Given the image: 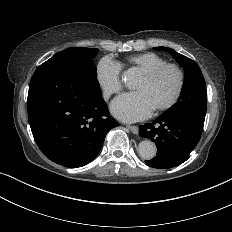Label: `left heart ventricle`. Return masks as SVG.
Returning a JSON list of instances; mask_svg holds the SVG:
<instances>
[{
	"instance_id": "b2bd125f",
	"label": "left heart ventricle",
	"mask_w": 232,
	"mask_h": 232,
	"mask_svg": "<svg viewBox=\"0 0 232 232\" xmlns=\"http://www.w3.org/2000/svg\"><path fill=\"white\" fill-rule=\"evenodd\" d=\"M178 84L179 76L177 72L173 68H167L152 81L147 82L141 77L133 89L143 92L154 109L157 110L173 97Z\"/></svg>"
}]
</instances>
